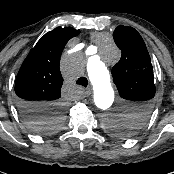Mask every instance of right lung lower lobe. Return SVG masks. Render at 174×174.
<instances>
[{"label": "right lung lower lobe", "instance_id": "right-lung-lower-lobe-1", "mask_svg": "<svg viewBox=\"0 0 174 174\" xmlns=\"http://www.w3.org/2000/svg\"><path fill=\"white\" fill-rule=\"evenodd\" d=\"M17 107L22 117L28 121L29 118H33L37 114L60 109L61 104L59 102L56 104H45L17 100Z\"/></svg>", "mask_w": 174, "mask_h": 174}]
</instances>
